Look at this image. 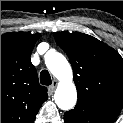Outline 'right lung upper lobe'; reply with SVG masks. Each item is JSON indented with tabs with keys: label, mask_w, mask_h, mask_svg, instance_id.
<instances>
[{
	"label": "right lung upper lobe",
	"mask_w": 123,
	"mask_h": 123,
	"mask_svg": "<svg viewBox=\"0 0 123 123\" xmlns=\"http://www.w3.org/2000/svg\"><path fill=\"white\" fill-rule=\"evenodd\" d=\"M40 34L1 35V123H34L48 98L30 56Z\"/></svg>",
	"instance_id": "obj_1"
}]
</instances>
